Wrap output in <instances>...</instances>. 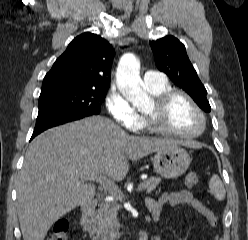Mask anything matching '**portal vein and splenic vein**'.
Instances as JSON below:
<instances>
[{
  "mask_svg": "<svg viewBox=\"0 0 248 240\" xmlns=\"http://www.w3.org/2000/svg\"><path fill=\"white\" fill-rule=\"evenodd\" d=\"M89 176L92 180H96L97 182L102 184L112 195H121V191L118 186L101 173L93 172L90 173ZM144 188L145 186L143 185V183H141L138 185L137 191H141Z\"/></svg>",
  "mask_w": 248,
  "mask_h": 240,
  "instance_id": "18ae733b",
  "label": "portal vein and splenic vein"
}]
</instances>
